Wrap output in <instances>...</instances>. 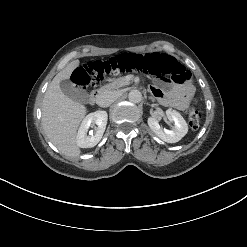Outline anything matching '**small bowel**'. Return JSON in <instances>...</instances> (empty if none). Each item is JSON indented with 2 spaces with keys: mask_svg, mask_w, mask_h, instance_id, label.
<instances>
[{
  "mask_svg": "<svg viewBox=\"0 0 247 247\" xmlns=\"http://www.w3.org/2000/svg\"><path fill=\"white\" fill-rule=\"evenodd\" d=\"M152 94L165 106L178 110L187 108L189 89L178 85L162 86L159 80H156L150 88Z\"/></svg>",
  "mask_w": 247,
  "mask_h": 247,
  "instance_id": "c3829d8e",
  "label": "small bowel"
}]
</instances>
